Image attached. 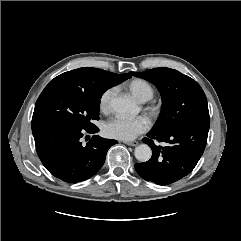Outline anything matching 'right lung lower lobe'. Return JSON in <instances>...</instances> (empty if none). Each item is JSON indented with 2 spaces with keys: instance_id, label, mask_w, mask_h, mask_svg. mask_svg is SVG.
I'll list each match as a JSON object with an SVG mask.
<instances>
[{
  "instance_id": "obj_1",
  "label": "right lung lower lobe",
  "mask_w": 241,
  "mask_h": 241,
  "mask_svg": "<svg viewBox=\"0 0 241 241\" xmlns=\"http://www.w3.org/2000/svg\"><path fill=\"white\" fill-rule=\"evenodd\" d=\"M98 131L96 126L84 130L70 125H49L33 129L32 133L37 154L46 169L65 182L77 183L96 174L108 149L117 143L94 135L86 146L82 145L85 132Z\"/></svg>"
}]
</instances>
